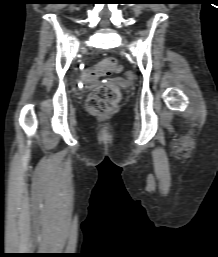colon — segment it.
<instances>
[{
    "label": "colon",
    "instance_id": "1",
    "mask_svg": "<svg viewBox=\"0 0 218 257\" xmlns=\"http://www.w3.org/2000/svg\"><path fill=\"white\" fill-rule=\"evenodd\" d=\"M122 62L114 57H107L99 62L95 67L78 72V83H83L84 87H91L92 83L88 79L94 80L112 73L122 71ZM127 79H135L136 75L132 70H125ZM120 101V91L116 86L104 85L94 89L87 98V108L93 114L104 115L116 109Z\"/></svg>",
    "mask_w": 218,
    "mask_h": 257
}]
</instances>
